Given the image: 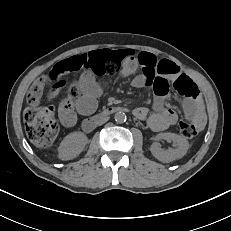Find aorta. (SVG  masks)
Wrapping results in <instances>:
<instances>
[{
    "label": "aorta",
    "instance_id": "obj_1",
    "mask_svg": "<svg viewBox=\"0 0 231 231\" xmlns=\"http://www.w3.org/2000/svg\"><path fill=\"white\" fill-rule=\"evenodd\" d=\"M114 118L117 123H123L126 121V114L122 111H119L115 114Z\"/></svg>",
    "mask_w": 231,
    "mask_h": 231
}]
</instances>
